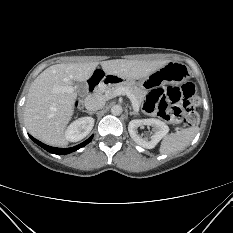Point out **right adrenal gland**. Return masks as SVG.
<instances>
[{
  "instance_id": "1",
  "label": "right adrenal gland",
  "mask_w": 233,
  "mask_h": 233,
  "mask_svg": "<svg viewBox=\"0 0 233 233\" xmlns=\"http://www.w3.org/2000/svg\"><path fill=\"white\" fill-rule=\"evenodd\" d=\"M83 112L89 114V115H93L96 113V111H88V110H83Z\"/></svg>"
}]
</instances>
